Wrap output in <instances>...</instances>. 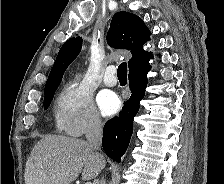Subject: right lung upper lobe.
I'll return each instance as SVG.
<instances>
[{
    "instance_id": "cb5924a9",
    "label": "right lung upper lobe",
    "mask_w": 224,
    "mask_h": 184,
    "mask_svg": "<svg viewBox=\"0 0 224 184\" xmlns=\"http://www.w3.org/2000/svg\"><path fill=\"white\" fill-rule=\"evenodd\" d=\"M151 32L143 20L129 12H117L111 21L107 34L110 46L129 50L132 58L128 61L129 73L149 66L153 58L151 53L143 50V45L150 38ZM82 47V38H70L61 47L45 85L44 93L55 91L69 64L77 57Z\"/></svg>"
}]
</instances>
